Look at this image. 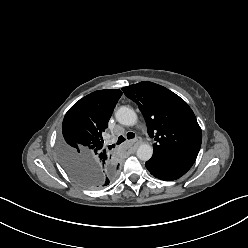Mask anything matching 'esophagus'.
<instances>
[{"instance_id":"esophagus-1","label":"esophagus","mask_w":248,"mask_h":248,"mask_svg":"<svg viewBox=\"0 0 248 248\" xmlns=\"http://www.w3.org/2000/svg\"><path fill=\"white\" fill-rule=\"evenodd\" d=\"M140 143H141V139L136 138L135 140L131 141V148L136 149Z\"/></svg>"}]
</instances>
